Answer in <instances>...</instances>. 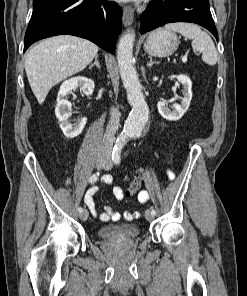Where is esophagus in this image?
Segmentation results:
<instances>
[{"instance_id": "34e87169", "label": "esophagus", "mask_w": 247, "mask_h": 296, "mask_svg": "<svg viewBox=\"0 0 247 296\" xmlns=\"http://www.w3.org/2000/svg\"><path fill=\"white\" fill-rule=\"evenodd\" d=\"M134 19V10L130 6H126L123 9V24L125 27L131 26Z\"/></svg>"}]
</instances>
